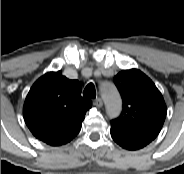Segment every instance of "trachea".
I'll list each match as a JSON object with an SVG mask.
<instances>
[{
  "label": "trachea",
  "mask_w": 184,
  "mask_h": 174,
  "mask_svg": "<svg viewBox=\"0 0 184 174\" xmlns=\"http://www.w3.org/2000/svg\"><path fill=\"white\" fill-rule=\"evenodd\" d=\"M83 96L88 97V98H95L96 97V90L95 86L93 83H89L84 91H83Z\"/></svg>",
  "instance_id": "1"
}]
</instances>
